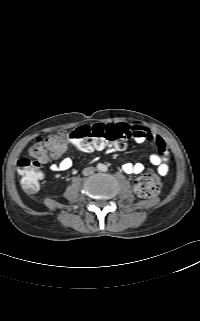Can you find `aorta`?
Instances as JSON below:
<instances>
[{"label": "aorta", "mask_w": 200, "mask_h": 321, "mask_svg": "<svg viewBox=\"0 0 200 321\" xmlns=\"http://www.w3.org/2000/svg\"><path fill=\"white\" fill-rule=\"evenodd\" d=\"M105 166L104 165H99V170H105V168H104Z\"/></svg>", "instance_id": "aorta-1"}]
</instances>
